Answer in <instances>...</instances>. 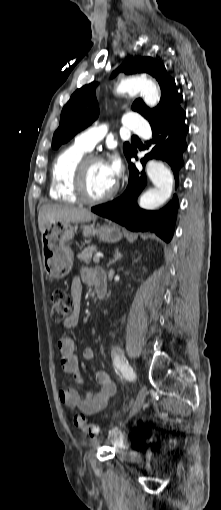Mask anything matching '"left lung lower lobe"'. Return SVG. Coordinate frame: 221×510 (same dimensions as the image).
I'll use <instances>...</instances> for the list:
<instances>
[{"instance_id": "obj_1", "label": "left lung lower lobe", "mask_w": 221, "mask_h": 510, "mask_svg": "<svg viewBox=\"0 0 221 510\" xmlns=\"http://www.w3.org/2000/svg\"><path fill=\"white\" fill-rule=\"evenodd\" d=\"M185 112L170 115L162 120L150 123L153 139L147 143L146 149L152 146L149 153L141 159L144 166L148 159L156 158L167 162L174 174L176 185L178 174L184 165L182 154L187 148L186 134L188 127L184 123ZM137 150L132 156L136 157ZM144 171L139 172L133 163H129V183L125 192L117 199L98 205L91 210L103 217L111 219L131 231H150L169 242L174 233V223L178 210V199L174 195L164 208L159 211H147L137 205V197L146 185Z\"/></svg>"}]
</instances>
